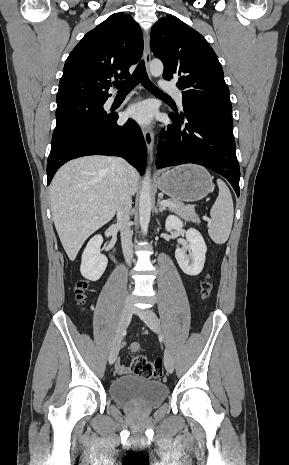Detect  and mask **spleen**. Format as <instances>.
Listing matches in <instances>:
<instances>
[{"instance_id": "1", "label": "spleen", "mask_w": 289, "mask_h": 465, "mask_svg": "<svg viewBox=\"0 0 289 465\" xmlns=\"http://www.w3.org/2000/svg\"><path fill=\"white\" fill-rule=\"evenodd\" d=\"M217 185L219 194L210 210L211 222L208 224V234L215 243L224 244L231 232L234 207L230 190L224 181L217 179Z\"/></svg>"}]
</instances>
